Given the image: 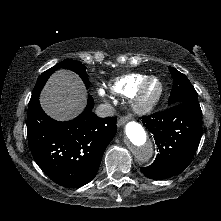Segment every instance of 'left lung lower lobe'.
Wrapping results in <instances>:
<instances>
[{
  "label": "left lung lower lobe",
  "mask_w": 221,
  "mask_h": 221,
  "mask_svg": "<svg viewBox=\"0 0 221 221\" xmlns=\"http://www.w3.org/2000/svg\"><path fill=\"white\" fill-rule=\"evenodd\" d=\"M154 135L159 153L152 165L140 168L150 179L172 177L191 163L202 136V112L199 108L179 103L168 109L142 117Z\"/></svg>",
  "instance_id": "left-lung-lower-lobe-1"
}]
</instances>
